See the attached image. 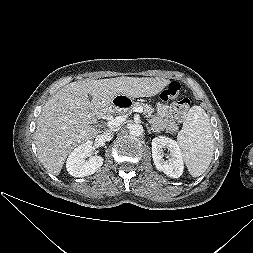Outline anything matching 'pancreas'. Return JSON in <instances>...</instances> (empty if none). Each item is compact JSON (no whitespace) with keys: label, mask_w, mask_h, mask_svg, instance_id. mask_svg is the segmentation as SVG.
I'll return each instance as SVG.
<instances>
[{"label":"pancreas","mask_w":253,"mask_h":253,"mask_svg":"<svg viewBox=\"0 0 253 253\" xmlns=\"http://www.w3.org/2000/svg\"><path fill=\"white\" fill-rule=\"evenodd\" d=\"M141 107L143 109V113L147 118L152 117V113L154 112V108L151 105L144 103V102H135L131 108V110H135L136 108Z\"/></svg>","instance_id":"cf45deb5"}]
</instances>
